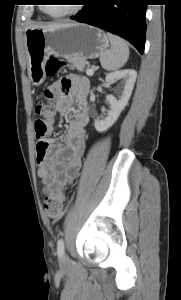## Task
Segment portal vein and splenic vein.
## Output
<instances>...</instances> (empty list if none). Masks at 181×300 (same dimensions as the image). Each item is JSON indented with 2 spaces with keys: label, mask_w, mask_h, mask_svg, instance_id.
I'll return each mask as SVG.
<instances>
[{
  "label": "portal vein and splenic vein",
  "mask_w": 181,
  "mask_h": 300,
  "mask_svg": "<svg viewBox=\"0 0 181 300\" xmlns=\"http://www.w3.org/2000/svg\"><path fill=\"white\" fill-rule=\"evenodd\" d=\"M86 74H87L88 76H93L94 70H93V69H88V70L86 71Z\"/></svg>",
  "instance_id": "18ae733b"
}]
</instances>
